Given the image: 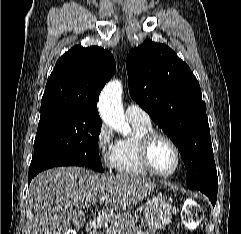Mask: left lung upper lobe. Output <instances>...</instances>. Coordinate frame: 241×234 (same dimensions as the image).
Wrapping results in <instances>:
<instances>
[{"label": "left lung upper lobe", "instance_id": "5c2ea615", "mask_svg": "<svg viewBox=\"0 0 241 234\" xmlns=\"http://www.w3.org/2000/svg\"><path fill=\"white\" fill-rule=\"evenodd\" d=\"M126 66L131 97L178 147L187 169V187L216 194L206 104L193 72L172 49L151 40L129 52Z\"/></svg>", "mask_w": 241, "mask_h": 234}]
</instances>
